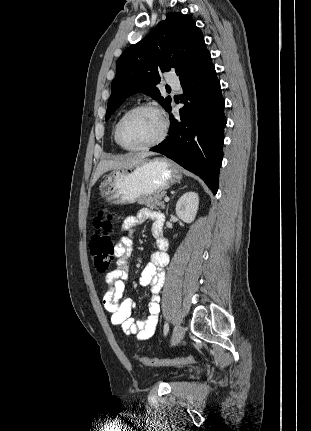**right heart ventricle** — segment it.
I'll return each mask as SVG.
<instances>
[{
    "label": "right heart ventricle",
    "instance_id": "obj_1",
    "mask_svg": "<svg viewBox=\"0 0 311 431\" xmlns=\"http://www.w3.org/2000/svg\"><path fill=\"white\" fill-rule=\"evenodd\" d=\"M130 108H132V106L131 105H127V106H125L121 111H120V113L118 114V116H117V118H116V120H115V123H114V127H113V139H114V141H115V143L118 145V146H120L121 147V145H120V143H119V141H118V139H117V136H116V131H115V128H116V124H117V121L119 120V118L126 112V111H128Z\"/></svg>",
    "mask_w": 311,
    "mask_h": 431
}]
</instances>
